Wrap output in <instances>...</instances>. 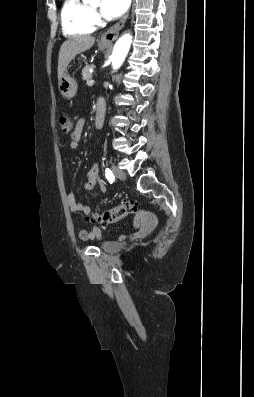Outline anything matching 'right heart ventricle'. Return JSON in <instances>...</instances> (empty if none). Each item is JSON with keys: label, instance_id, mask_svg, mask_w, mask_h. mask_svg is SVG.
<instances>
[{"label": "right heart ventricle", "instance_id": "1", "mask_svg": "<svg viewBox=\"0 0 254 397\" xmlns=\"http://www.w3.org/2000/svg\"><path fill=\"white\" fill-rule=\"evenodd\" d=\"M62 30L66 36H79L94 31L92 11L82 0H64L61 7Z\"/></svg>", "mask_w": 254, "mask_h": 397}]
</instances>
